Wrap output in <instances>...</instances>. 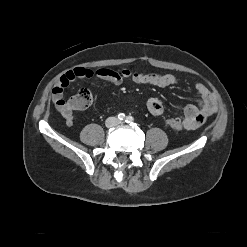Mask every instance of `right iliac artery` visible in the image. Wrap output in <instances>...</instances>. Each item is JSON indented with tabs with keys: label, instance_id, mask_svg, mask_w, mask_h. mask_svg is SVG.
I'll return each instance as SVG.
<instances>
[{
	"label": "right iliac artery",
	"instance_id": "obj_1",
	"mask_svg": "<svg viewBox=\"0 0 247 247\" xmlns=\"http://www.w3.org/2000/svg\"><path fill=\"white\" fill-rule=\"evenodd\" d=\"M117 118L119 119V120H124L125 119V114L124 113H119L118 115H117Z\"/></svg>",
	"mask_w": 247,
	"mask_h": 247
}]
</instances>
